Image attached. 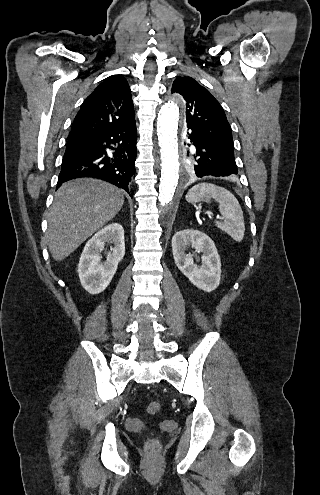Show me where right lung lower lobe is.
<instances>
[{"label": "right lung lower lobe", "instance_id": "1", "mask_svg": "<svg viewBox=\"0 0 320 495\" xmlns=\"http://www.w3.org/2000/svg\"><path fill=\"white\" fill-rule=\"evenodd\" d=\"M136 140L135 122L127 127L68 140L57 188L71 179L93 177L129 193V182L135 174ZM106 149L115 152L110 157Z\"/></svg>", "mask_w": 320, "mask_h": 495}]
</instances>
